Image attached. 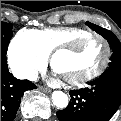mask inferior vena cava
Returning <instances> with one entry per match:
<instances>
[{
	"mask_svg": "<svg viewBox=\"0 0 121 121\" xmlns=\"http://www.w3.org/2000/svg\"><path fill=\"white\" fill-rule=\"evenodd\" d=\"M13 75L18 79H28L30 81H36L38 78L36 71L13 70Z\"/></svg>",
	"mask_w": 121,
	"mask_h": 121,
	"instance_id": "602c4592",
	"label": "inferior vena cava"
}]
</instances>
